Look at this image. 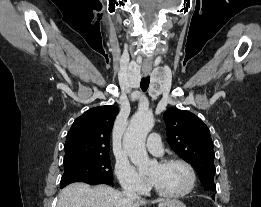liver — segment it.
Returning a JSON list of instances; mask_svg holds the SVG:
<instances>
[{
  "label": "liver",
  "mask_w": 261,
  "mask_h": 207,
  "mask_svg": "<svg viewBox=\"0 0 261 207\" xmlns=\"http://www.w3.org/2000/svg\"><path fill=\"white\" fill-rule=\"evenodd\" d=\"M163 200H154L152 203ZM145 200H129L124 194L106 185L91 188L76 182L66 186L60 193L57 207H140Z\"/></svg>",
  "instance_id": "liver-1"
}]
</instances>
